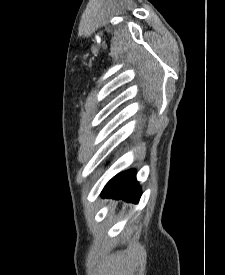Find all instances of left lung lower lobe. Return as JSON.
<instances>
[{
    "mask_svg": "<svg viewBox=\"0 0 225 275\" xmlns=\"http://www.w3.org/2000/svg\"><path fill=\"white\" fill-rule=\"evenodd\" d=\"M141 190L135 176V170L122 172L113 177L104 187L102 197L122 199L127 202L138 203Z\"/></svg>",
    "mask_w": 225,
    "mask_h": 275,
    "instance_id": "left-lung-lower-lobe-1",
    "label": "left lung lower lobe"
}]
</instances>
